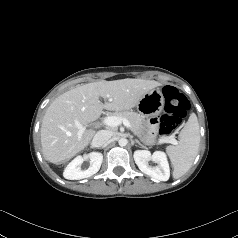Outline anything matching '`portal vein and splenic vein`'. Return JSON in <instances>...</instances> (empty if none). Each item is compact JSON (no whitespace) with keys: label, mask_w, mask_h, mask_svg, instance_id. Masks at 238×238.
I'll list each match as a JSON object with an SVG mask.
<instances>
[{"label":"portal vein and splenic vein","mask_w":238,"mask_h":238,"mask_svg":"<svg viewBox=\"0 0 238 238\" xmlns=\"http://www.w3.org/2000/svg\"><path fill=\"white\" fill-rule=\"evenodd\" d=\"M102 123L106 126H110V127H117L121 124H123L124 126H126L127 128H131V124L130 122L127 120V119H124V118H120V117H117V116H108V117H105L102 121ZM76 126L78 127L79 129V134L81 135L85 130H86V127L79 124L78 122L76 123ZM162 142H166V143H172L174 145H177L178 142L176 139L174 138H168L166 140H163Z\"/></svg>","instance_id":"18ae733b"}]
</instances>
